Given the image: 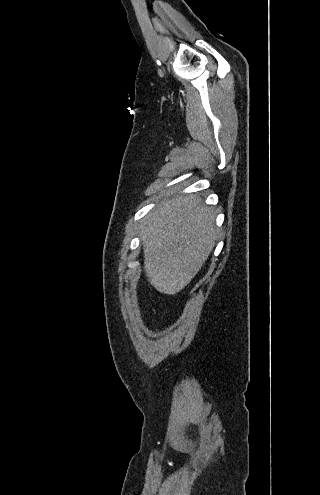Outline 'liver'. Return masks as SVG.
Listing matches in <instances>:
<instances>
[{"label": "liver", "instance_id": "1", "mask_svg": "<svg viewBox=\"0 0 320 495\" xmlns=\"http://www.w3.org/2000/svg\"><path fill=\"white\" fill-rule=\"evenodd\" d=\"M216 235L215 215L196 195L180 196L154 209L141 226L150 284L164 294L178 293L208 259Z\"/></svg>", "mask_w": 320, "mask_h": 495}]
</instances>
